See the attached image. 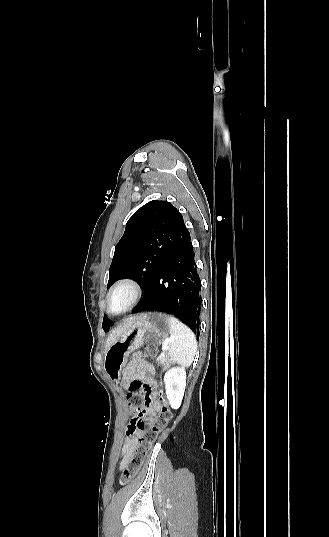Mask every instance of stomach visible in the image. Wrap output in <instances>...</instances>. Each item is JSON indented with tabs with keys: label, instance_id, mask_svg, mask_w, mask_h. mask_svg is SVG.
Masks as SVG:
<instances>
[{
	"label": "stomach",
	"instance_id": "obj_1",
	"mask_svg": "<svg viewBox=\"0 0 329 537\" xmlns=\"http://www.w3.org/2000/svg\"><path fill=\"white\" fill-rule=\"evenodd\" d=\"M170 330V316L157 312L141 314L106 351L104 368L108 376L119 379L132 351L139 348L149 336L157 343H162L168 339Z\"/></svg>",
	"mask_w": 329,
	"mask_h": 537
}]
</instances>
